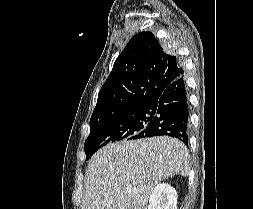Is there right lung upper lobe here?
<instances>
[{
  "label": "right lung upper lobe",
  "instance_id": "cb5924a9",
  "mask_svg": "<svg viewBox=\"0 0 253 209\" xmlns=\"http://www.w3.org/2000/svg\"><path fill=\"white\" fill-rule=\"evenodd\" d=\"M183 73L177 58L166 54L151 32L136 34L101 87L90 120L149 105Z\"/></svg>",
  "mask_w": 253,
  "mask_h": 209
}]
</instances>
